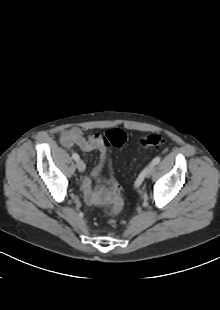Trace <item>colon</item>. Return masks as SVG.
Here are the masks:
<instances>
[{"label": "colon", "instance_id": "colon-1", "mask_svg": "<svg viewBox=\"0 0 220 310\" xmlns=\"http://www.w3.org/2000/svg\"><path fill=\"white\" fill-rule=\"evenodd\" d=\"M126 139V133L121 129L115 128L106 132L103 143L106 147H121L126 142ZM163 141V137L160 134H148L141 138L140 144L144 148H158ZM103 205L104 213L109 217L118 215L124 207L120 186L114 180H112V193Z\"/></svg>", "mask_w": 220, "mask_h": 310}]
</instances>
